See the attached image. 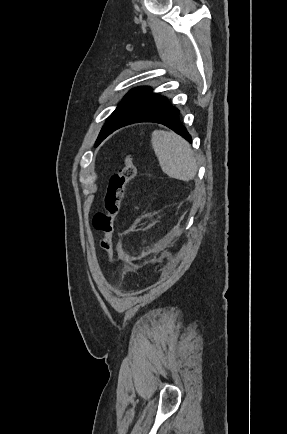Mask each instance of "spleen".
Returning <instances> with one entry per match:
<instances>
[{
  "label": "spleen",
  "instance_id": "3e777b00",
  "mask_svg": "<svg viewBox=\"0 0 287 434\" xmlns=\"http://www.w3.org/2000/svg\"><path fill=\"white\" fill-rule=\"evenodd\" d=\"M162 171L170 178L190 181L198 170L189 143L171 131L155 130L151 139Z\"/></svg>",
  "mask_w": 287,
  "mask_h": 434
}]
</instances>
